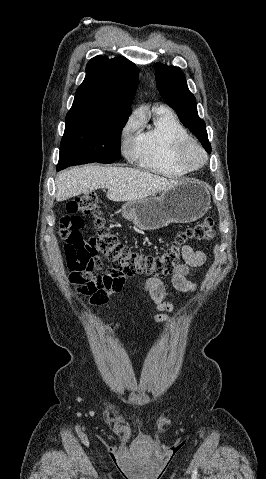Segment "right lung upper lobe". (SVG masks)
Here are the masks:
<instances>
[{"mask_svg":"<svg viewBox=\"0 0 266 479\" xmlns=\"http://www.w3.org/2000/svg\"><path fill=\"white\" fill-rule=\"evenodd\" d=\"M138 81L136 66L123 56L92 58L66 117L106 116L128 118Z\"/></svg>","mask_w":266,"mask_h":479,"instance_id":"obj_1","label":"right lung upper lobe"}]
</instances>
